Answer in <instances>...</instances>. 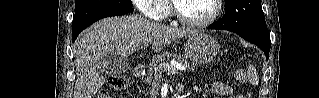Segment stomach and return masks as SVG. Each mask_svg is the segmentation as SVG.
Returning <instances> with one entry per match:
<instances>
[{
	"mask_svg": "<svg viewBox=\"0 0 319 98\" xmlns=\"http://www.w3.org/2000/svg\"><path fill=\"white\" fill-rule=\"evenodd\" d=\"M219 48V43L215 38L203 32H196L189 36L185 54L196 64H206L213 60Z\"/></svg>",
	"mask_w": 319,
	"mask_h": 98,
	"instance_id": "stomach-1",
	"label": "stomach"
}]
</instances>
